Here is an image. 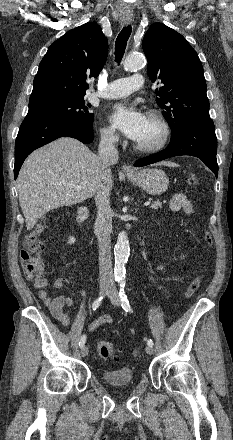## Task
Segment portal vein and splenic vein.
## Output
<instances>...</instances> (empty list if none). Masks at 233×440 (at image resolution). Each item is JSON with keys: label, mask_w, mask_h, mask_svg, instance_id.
<instances>
[{"label": "portal vein and splenic vein", "mask_w": 233, "mask_h": 440, "mask_svg": "<svg viewBox=\"0 0 233 440\" xmlns=\"http://www.w3.org/2000/svg\"><path fill=\"white\" fill-rule=\"evenodd\" d=\"M75 190H81L82 189V186H79V185H71ZM151 204V202L150 201H147V202H145L144 203V205L145 206H148V205H150Z\"/></svg>", "instance_id": "1"}]
</instances>
